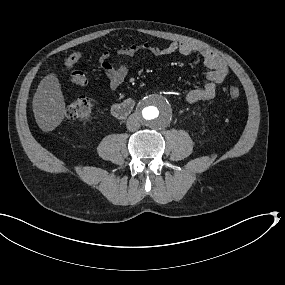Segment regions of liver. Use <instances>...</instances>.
I'll return each instance as SVG.
<instances>
[{
    "mask_svg": "<svg viewBox=\"0 0 285 285\" xmlns=\"http://www.w3.org/2000/svg\"><path fill=\"white\" fill-rule=\"evenodd\" d=\"M32 111L43 132L53 131L65 119L66 103L56 72L41 79L32 99Z\"/></svg>",
    "mask_w": 285,
    "mask_h": 285,
    "instance_id": "obj_1",
    "label": "liver"
}]
</instances>
